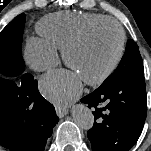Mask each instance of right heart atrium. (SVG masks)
Returning a JSON list of instances; mask_svg holds the SVG:
<instances>
[{
	"label": "right heart atrium",
	"instance_id": "1",
	"mask_svg": "<svg viewBox=\"0 0 151 151\" xmlns=\"http://www.w3.org/2000/svg\"><path fill=\"white\" fill-rule=\"evenodd\" d=\"M25 57L32 69L41 72L56 65L58 52L42 38L32 37L26 44Z\"/></svg>",
	"mask_w": 151,
	"mask_h": 151
}]
</instances>
